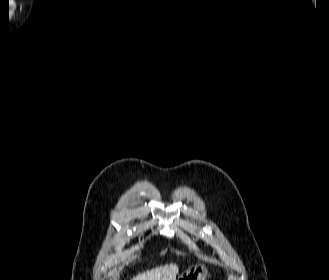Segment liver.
<instances>
[{
  "mask_svg": "<svg viewBox=\"0 0 329 280\" xmlns=\"http://www.w3.org/2000/svg\"><path fill=\"white\" fill-rule=\"evenodd\" d=\"M177 274L178 265L170 263L139 273L131 280H176Z\"/></svg>",
  "mask_w": 329,
  "mask_h": 280,
  "instance_id": "obj_1",
  "label": "liver"
}]
</instances>
